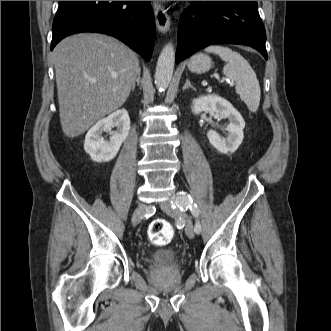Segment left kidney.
<instances>
[{
  "label": "left kidney",
  "instance_id": "5707ae66",
  "mask_svg": "<svg viewBox=\"0 0 331 331\" xmlns=\"http://www.w3.org/2000/svg\"><path fill=\"white\" fill-rule=\"evenodd\" d=\"M191 109L196 115L204 111L216 114L220 118H227L230 122L226 128L227 137H221L214 130H209L207 137L210 144L220 153H233L238 149L244 138L245 121L229 101L218 95L203 96L193 100Z\"/></svg>",
  "mask_w": 331,
  "mask_h": 331
}]
</instances>
